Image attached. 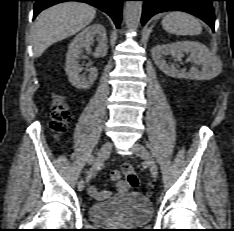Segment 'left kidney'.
<instances>
[{"label": "left kidney", "mask_w": 234, "mask_h": 231, "mask_svg": "<svg viewBox=\"0 0 234 231\" xmlns=\"http://www.w3.org/2000/svg\"><path fill=\"white\" fill-rule=\"evenodd\" d=\"M184 53H190L189 60L202 66V70L191 67L188 73L180 72L173 63L167 64L164 57L171 55L181 58ZM152 57L157 67L165 74L175 78L193 80H210L222 71V62L213 55L202 43L197 41H178L169 44L157 45L152 49Z\"/></svg>", "instance_id": "1"}]
</instances>
